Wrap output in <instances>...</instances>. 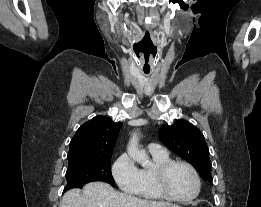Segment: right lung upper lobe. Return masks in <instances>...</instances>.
<instances>
[{
	"instance_id": "cb5924a9",
	"label": "right lung upper lobe",
	"mask_w": 261,
	"mask_h": 207,
	"mask_svg": "<svg viewBox=\"0 0 261 207\" xmlns=\"http://www.w3.org/2000/svg\"><path fill=\"white\" fill-rule=\"evenodd\" d=\"M121 126L106 116L85 122L70 142L69 163L111 157Z\"/></svg>"
}]
</instances>
